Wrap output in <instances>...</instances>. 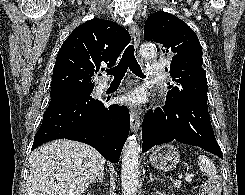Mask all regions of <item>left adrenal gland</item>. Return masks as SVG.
<instances>
[{
	"mask_svg": "<svg viewBox=\"0 0 245 195\" xmlns=\"http://www.w3.org/2000/svg\"><path fill=\"white\" fill-rule=\"evenodd\" d=\"M154 180L162 181V179L153 176L152 173L150 172L149 173V181H148V183L153 182Z\"/></svg>",
	"mask_w": 245,
	"mask_h": 195,
	"instance_id": "1",
	"label": "left adrenal gland"
}]
</instances>
